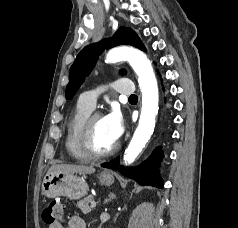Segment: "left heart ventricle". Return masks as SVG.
<instances>
[{
	"label": "left heart ventricle",
	"instance_id": "1",
	"mask_svg": "<svg viewBox=\"0 0 238 228\" xmlns=\"http://www.w3.org/2000/svg\"><path fill=\"white\" fill-rule=\"evenodd\" d=\"M116 141L111 137L104 117L95 121L93 129V146L97 151H107Z\"/></svg>",
	"mask_w": 238,
	"mask_h": 228
}]
</instances>
